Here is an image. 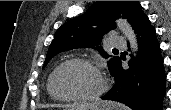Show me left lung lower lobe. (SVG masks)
Returning a JSON list of instances; mask_svg holds the SVG:
<instances>
[{"instance_id":"1","label":"left lung lower lobe","mask_w":171,"mask_h":110,"mask_svg":"<svg viewBox=\"0 0 171 110\" xmlns=\"http://www.w3.org/2000/svg\"><path fill=\"white\" fill-rule=\"evenodd\" d=\"M139 53L129 61V69L118 64L115 85L102 97L126 104L133 110H162L166 92L165 71L156 31L146 16L136 32Z\"/></svg>"}]
</instances>
